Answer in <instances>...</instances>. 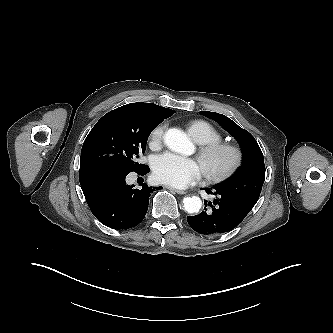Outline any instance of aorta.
<instances>
[{
	"label": "aorta",
	"instance_id": "obj_1",
	"mask_svg": "<svg viewBox=\"0 0 333 333\" xmlns=\"http://www.w3.org/2000/svg\"><path fill=\"white\" fill-rule=\"evenodd\" d=\"M165 145L174 152L184 155L190 154L193 145L186 133L177 128H170L164 134ZM184 209L188 213H198L202 207V201L198 196L185 197Z\"/></svg>",
	"mask_w": 333,
	"mask_h": 333
}]
</instances>
